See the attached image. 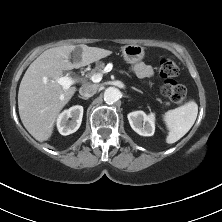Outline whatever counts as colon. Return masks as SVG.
Returning a JSON list of instances; mask_svg holds the SVG:
<instances>
[{
    "mask_svg": "<svg viewBox=\"0 0 222 222\" xmlns=\"http://www.w3.org/2000/svg\"><path fill=\"white\" fill-rule=\"evenodd\" d=\"M159 72L164 79L162 93L171 101L177 104L184 103L187 98L186 88L175 80L179 74L178 64L169 57H162L159 60Z\"/></svg>",
    "mask_w": 222,
    "mask_h": 222,
    "instance_id": "colon-1",
    "label": "colon"
}]
</instances>
